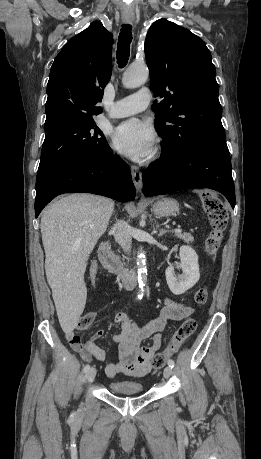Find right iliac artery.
Returning a JSON list of instances; mask_svg holds the SVG:
<instances>
[{
    "label": "right iliac artery",
    "mask_w": 261,
    "mask_h": 459,
    "mask_svg": "<svg viewBox=\"0 0 261 459\" xmlns=\"http://www.w3.org/2000/svg\"><path fill=\"white\" fill-rule=\"evenodd\" d=\"M89 369H90V366L89 365H85L84 368H83V371L87 372Z\"/></svg>",
    "instance_id": "obj_1"
}]
</instances>
